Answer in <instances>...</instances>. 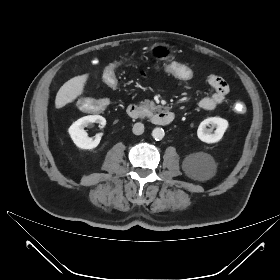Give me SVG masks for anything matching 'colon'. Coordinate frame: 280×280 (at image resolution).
<instances>
[{
  "instance_id": "1",
  "label": "colon",
  "mask_w": 280,
  "mask_h": 280,
  "mask_svg": "<svg viewBox=\"0 0 280 280\" xmlns=\"http://www.w3.org/2000/svg\"><path fill=\"white\" fill-rule=\"evenodd\" d=\"M129 63H141V61L137 57H129L128 59L111 61L108 64V67H106L103 71L104 81L108 85L114 87L117 83L116 78L119 77L117 75V70ZM155 69L160 73H164L167 76H173L174 78L184 82H191L196 77V72L192 67L180 64L176 61H158L155 64ZM102 104L103 102L101 100L96 99H82L80 101L82 109L86 111H95ZM233 109L237 114H244L246 112V106L241 102L235 103Z\"/></svg>"
}]
</instances>
